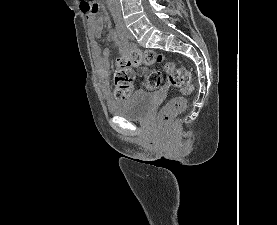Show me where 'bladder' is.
Segmentation results:
<instances>
[{"instance_id":"bladder-1","label":"bladder","mask_w":277,"mask_h":225,"mask_svg":"<svg viewBox=\"0 0 277 225\" xmlns=\"http://www.w3.org/2000/svg\"><path fill=\"white\" fill-rule=\"evenodd\" d=\"M153 108V95L150 92L137 90L129 98L108 104L111 115L120 116L127 120H144Z\"/></svg>"}]
</instances>
